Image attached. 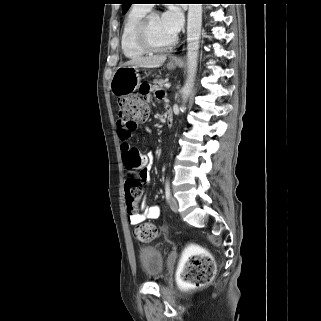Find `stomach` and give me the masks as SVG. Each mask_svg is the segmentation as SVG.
Returning a JSON list of instances; mask_svg holds the SVG:
<instances>
[{"label": "stomach", "instance_id": "stomach-1", "mask_svg": "<svg viewBox=\"0 0 321 321\" xmlns=\"http://www.w3.org/2000/svg\"><path fill=\"white\" fill-rule=\"evenodd\" d=\"M177 62L171 59L167 63L169 70L175 69ZM140 84L139 69L135 66H121L115 71L111 82L110 89L114 95L123 97L132 93Z\"/></svg>", "mask_w": 321, "mask_h": 321}]
</instances>
